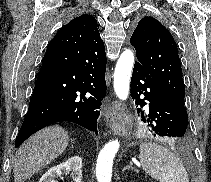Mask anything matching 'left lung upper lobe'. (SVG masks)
Masks as SVG:
<instances>
[{"label": "left lung upper lobe", "mask_w": 211, "mask_h": 182, "mask_svg": "<svg viewBox=\"0 0 211 182\" xmlns=\"http://www.w3.org/2000/svg\"><path fill=\"white\" fill-rule=\"evenodd\" d=\"M139 65L163 90L184 104L185 87L177 45L171 33L155 18L140 20L133 32Z\"/></svg>", "instance_id": "obj_1"}]
</instances>
